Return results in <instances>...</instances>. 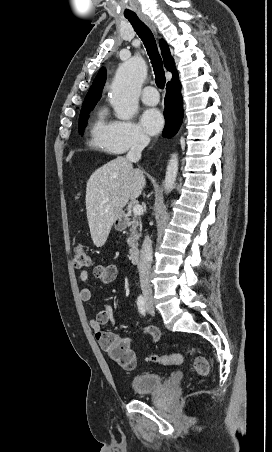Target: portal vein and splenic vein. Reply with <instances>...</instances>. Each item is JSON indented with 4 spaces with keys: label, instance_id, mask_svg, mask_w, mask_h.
<instances>
[{
    "label": "portal vein and splenic vein",
    "instance_id": "portal-vein-and-splenic-vein-1",
    "mask_svg": "<svg viewBox=\"0 0 272 452\" xmlns=\"http://www.w3.org/2000/svg\"><path fill=\"white\" fill-rule=\"evenodd\" d=\"M143 213V207L139 204L133 206V214L139 216Z\"/></svg>",
    "mask_w": 272,
    "mask_h": 452
}]
</instances>
